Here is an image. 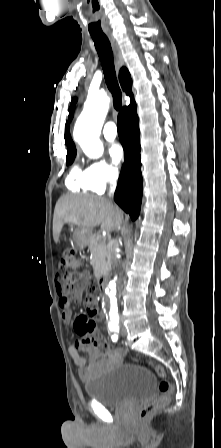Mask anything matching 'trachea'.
Returning a JSON list of instances; mask_svg holds the SVG:
<instances>
[{"mask_svg":"<svg viewBox=\"0 0 221 448\" xmlns=\"http://www.w3.org/2000/svg\"><path fill=\"white\" fill-rule=\"evenodd\" d=\"M92 39L101 61L107 87L113 97L114 108L118 111L122 106V94L116 78L111 44L105 35L92 36Z\"/></svg>","mask_w":221,"mask_h":448,"instance_id":"3493384b","label":"trachea"}]
</instances>
